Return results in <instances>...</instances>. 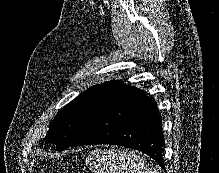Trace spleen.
I'll return each instance as SVG.
<instances>
[{
	"mask_svg": "<svg viewBox=\"0 0 219 173\" xmlns=\"http://www.w3.org/2000/svg\"><path fill=\"white\" fill-rule=\"evenodd\" d=\"M87 161L94 173H159L140 155L126 150H95Z\"/></svg>",
	"mask_w": 219,
	"mask_h": 173,
	"instance_id": "3e777b00",
	"label": "spleen"
}]
</instances>
